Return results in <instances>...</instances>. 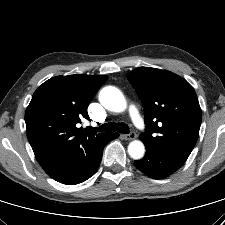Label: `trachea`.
<instances>
[{"label":"trachea","mask_w":225,"mask_h":225,"mask_svg":"<svg viewBox=\"0 0 225 225\" xmlns=\"http://www.w3.org/2000/svg\"><path fill=\"white\" fill-rule=\"evenodd\" d=\"M94 132H114L117 131L122 134H128L129 133V127L127 124L121 122V123H115L110 122L103 124L102 126L98 128H93Z\"/></svg>","instance_id":"1"}]
</instances>
